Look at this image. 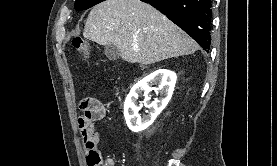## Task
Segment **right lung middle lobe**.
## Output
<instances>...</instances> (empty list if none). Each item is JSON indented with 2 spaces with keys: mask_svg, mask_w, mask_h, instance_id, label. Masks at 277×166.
<instances>
[{
  "mask_svg": "<svg viewBox=\"0 0 277 166\" xmlns=\"http://www.w3.org/2000/svg\"><path fill=\"white\" fill-rule=\"evenodd\" d=\"M102 1L104 0H76L75 9L77 11L86 10Z\"/></svg>",
  "mask_w": 277,
  "mask_h": 166,
  "instance_id": "right-lung-middle-lobe-1",
  "label": "right lung middle lobe"
}]
</instances>
